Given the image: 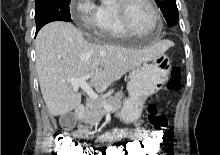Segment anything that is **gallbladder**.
<instances>
[{
  "instance_id": "obj_1",
  "label": "gallbladder",
  "mask_w": 220,
  "mask_h": 155,
  "mask_svg": "<svg viewBox=\"0 0 220 155\" xmlns=\"http://www.w3.org/2000/svg\"><path fill=\"white\" fill-rule=\"evenodd\" d=\"M67 119L71 123V126H74L75 121H76L75 116L74 115H70V116L67 117Z\"/></svg>"
}]
</instances>
